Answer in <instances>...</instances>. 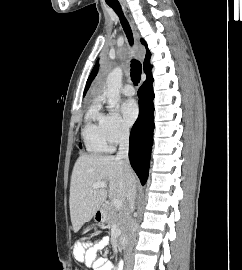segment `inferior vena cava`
<instances>
[{"label":"inferior vena cava","mask_w":242,"mask_h":270,"mask_svg":"<svg viewBox=\"0 0 242 270\" xmlns=\"http://www.w3.org/2000/svg\"><path fill=\"white\" fill-rule=\"evenodd\" d=\"M128 151H129V130L124 129L121 133L120 139H119V150L117 152L116 158L118 160H122L126 170L128 172H131L132 169L129 164L128 159ZM128 189H127V216L129 220V245L126 252V266L127 270H131L133 266V247L136 241V232H137V223L132 218V213L135 210V199H136V183L131 178V176L128 174Z\"/></svg>","instance_id":"obj_1"}]
</instances>
